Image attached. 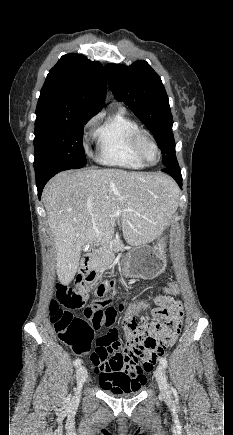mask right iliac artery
Returning <instances> with one entry per match:
<instances>
[{"mask_svg": "<svg viewBox=\"0 0 233 435\" xmlns=\"http://www.w3.org/2000/svg\"><path fill=\"white\" fill-rule=\"evenodd\" d=\"M74 365L76 366V367H78V366H80L81 365V359H76L75 360V362H74Z\"/></svg>", "mask_w": 233, "mask_h": 435, "instance_id": "1", "label": "right iliac artery"}]
</instances>
